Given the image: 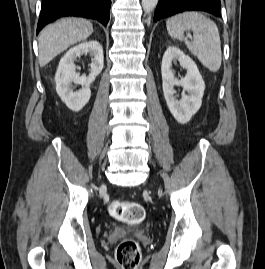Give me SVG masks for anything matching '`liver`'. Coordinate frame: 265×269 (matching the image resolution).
Wrapping results in <instances>:
<instances>
[{
  "instance_id": "liver-1",
  "label": "liver",
  "mask_w": 265,
  "mask_h": 269,
  "mask_svg": "<svg viewBox=\"0 0 265 269\" xmlns=\"http://www.w3.org/2000/svg\"><path fill=\"white\" fill-rule=\"evenodd\" d=\"M93 33L90 21L65 18L45 27L39 34V64L47 65L54 57L71 45L85 40Z\"/></svg>"
}]
</instances>
